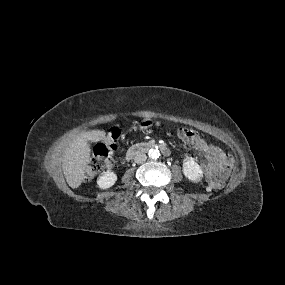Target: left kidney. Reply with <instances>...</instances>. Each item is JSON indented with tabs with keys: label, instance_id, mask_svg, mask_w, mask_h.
<instances>
[{
	"label": "left kidney",
	"instance_id": "obj_1",
	"mask_svg": "<svg viewBox=\"0 0 285 285\" xmlns=\"http://www.w3.org/2000/svg\"><path fill=\"white\" fill-rule=\"evenodd\" d=\"M183 173L186 178L193 182L199 181L203 176L201 167L193 159L185 160L183 164Z\"/></svg>",
	"mask_w": 285,
	"mask_h": 285
}]
</instances>
